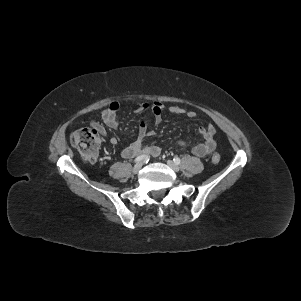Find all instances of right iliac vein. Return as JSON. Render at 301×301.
Wrapping results in <instances>:
<instances>
[{"label": "right iliac vein", "mask_w": 301, "mask_h": 301, "mask_svg": "<svg viewBox=\"0 0 301 301\" xmlns=\"http://www.w3.org/2000/svg\"><path fill=\"white\" fill-rule=\"evenodd\" d=\"M141 168H142V163L138 162L137 164H135L132 171L134 174H137L141 170Z\"/></svg>", "instance_id": "obj_1"}]
</instances>
